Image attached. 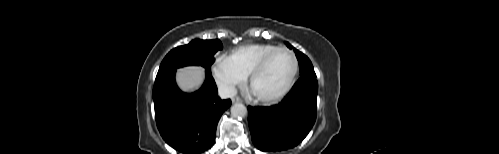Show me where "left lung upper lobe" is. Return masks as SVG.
<instances>
[{"label":"left lung upper lobe","mask_w":499,"mask_h":154,"mask_svg":"<svg viewBox=\"0 0 499 154\" xmlns=\"http://www.w3.org/2000/svg\"><path fill=\"white\" fill-rule=\"evenodd\" d=\"M285 44L287 45V47H289L290 49H293L295 51L296 57H297L298 62H299V71L301 73V76L316 77L313 65H312L311 61L309 60V58L306 55H304L303 53H301L298 50H296L295 48H293L288 42H285Z\"/></svg>","instance_id":"5c2ea615"}]
</instances>
